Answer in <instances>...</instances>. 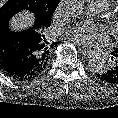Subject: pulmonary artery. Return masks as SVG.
Returning <instances> with one entry per match:
<instances>
[{
	"mask_svg": "<svg viewBox=\"0 0 118 118\" xmlns=\"http://www.w3.org/2000/svg\"><path fill=\"white\" fill-rule=\"evenodd\" d=\"M88 10L92 14H102L104 12L102 6L92 0L88 3Z\"/></svg>",
	"mask_w": 118,
	"mask_h": 118,
	"instance_id": "obj_1",
	"label": "pulmonary artery"
}]
</instances>
